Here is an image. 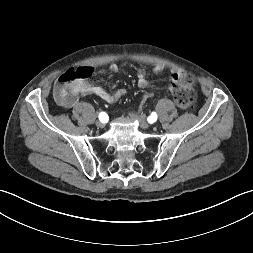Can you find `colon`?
<instances>
[{
	"instance_id": "1",
	"label": "colon",
	"mask_w": 253,
	"mask_h": 253,
	"mask_svg": "<svg viewBox=\"0 0 253 253\" xmlns=\"http://www.w3.org/2000/svg\"><path fill=\"white\" fill-rule=\"evenodd\" d=\"M90 74L88 68L71 69L63 73L57 80L54 93L57 101L68 103L74 99L73 85L76 81L86 79ZM170 91L173 93L176 104L183 110H192L195 108L196 95L194 90V80L187 75L178 79L171 80ZM157 92L150 90L144 94L138 102L142 110L148 99L155 97Z\"/></svg>"
}]
</instances>
